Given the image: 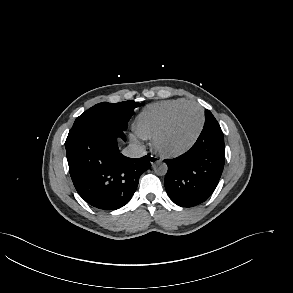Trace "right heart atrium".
<instances>
[{"mask_svg": "<svg viewBox=\"0 0 293 293\" xmlns=\"http://www.w3.org/2000/svg\"><path fill=\"white\" fill-rule=\"evenodd\" d=\"M133 142L136 143V144H138L139 143L138 138L137 137H133Z\"/></svg>", "mask_w": 293, "mask_h": 293, "instance_id": "d8ad5b80", "label": "right heart atrium"}]
</instances>
